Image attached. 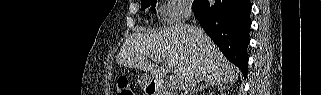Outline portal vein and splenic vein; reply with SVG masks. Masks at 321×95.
<instances>
[{
    "instance_id": "obj_1",
    "label": "portal vein and splenic vein",
    "mask_w": 321,
    "mask_h": 95,
    "mask_svg": "<svg viewBox=\"0 0 321 95\" xmlns=\"http://www.w3.org/2000/svg\"><path fill=\"white\" fill-rule=\"evenodd\" d=\"M164 65H165V67H166L167 70H170V71L173 70L172 64H170V63H164ZM170 81H171V84H172V85H176V84H177V81H176V77H175V76H172V77L170 78Z\"/></svg>"
}]
</instances>
